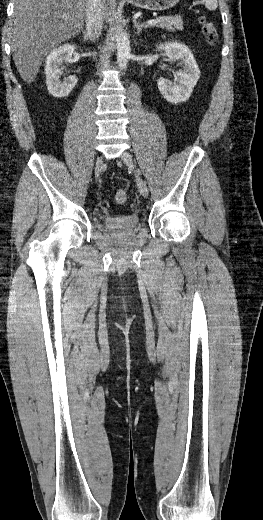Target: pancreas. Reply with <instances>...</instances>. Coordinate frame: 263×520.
I'll return each instance as SVG.
<instances>
[{
	"instance_id": "1",
	"label": "pancreas",
	"mask_w": 263,
	"mask_h": 520,
	"mask_svg": "<svg viewBox=\"0 0 263 520\" xmlns=\"http://www.w3.org/2000/svg\"><path fill=\"white\" fill-rule=\"evenodd\" d=\"M159 21L153 26L160 27L169 31L183 30V19L181 16L158 17Z\"/></svg>"
}]
</instances>
